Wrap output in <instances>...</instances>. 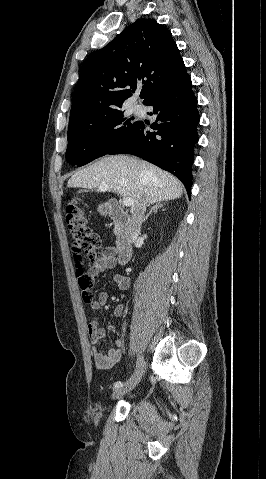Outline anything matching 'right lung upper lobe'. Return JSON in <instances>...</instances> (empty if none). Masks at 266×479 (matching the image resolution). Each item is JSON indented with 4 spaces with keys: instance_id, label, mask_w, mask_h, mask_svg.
Segmentation results:
<instances>
[{
    "instance_id": "obj_1",
    "label": "right lung upper lobe",
    "mask_w": 266,
    "mask_h": 479,
    "mask_svg": "<svg viewBox=\"0 0 266 479\" xmlns=\"http://www.w3.org/2000/svg\"><path fill=\"white\" fill-rule=\"evenodd\" d=\"M185 74L171 32L154 19H138L86 58L74 90L70 121L121 108L139 84H143L144 103ZM127 86L129 90H122Z\"/></svg>"
}]
</instances>
